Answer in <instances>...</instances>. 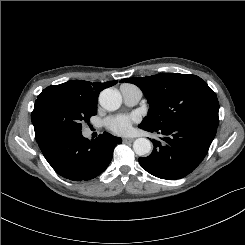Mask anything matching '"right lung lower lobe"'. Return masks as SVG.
<instances>
[{
  "label": "right lung lower lobe",
  "mask_w": 245,
  "mask_h": 245,
  "mask_svg": "<svg viewBox=\"0 0 245 245\" xmlns=\"http://www.w3.org/2000/svg\"><path fill=\"white\" fill-rule=\"evenodd\" d=\"M121 143V138L107 132L94 141L84 138L81 132L57 135L39 147L59 175L73 181H86L108 167L114 147Z\"/></svg>",
  "instance_id": "obj_1"
}]
</instances>
